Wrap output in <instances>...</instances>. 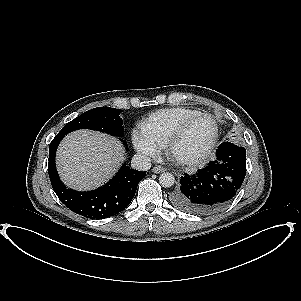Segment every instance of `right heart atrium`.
I'll return each instance as SVG.
<instances>
[{
	"label": "right heart atrium",
	"instance_id": "right-heart-atrium-1",
	"mask_svg": "<svg viewBox=\"0 0 301 301\" xmlns=\"http://www.w3.org/2000/svg\"><path fill=\"white\" fill-rule=\"evenodd\" d=\"M131 140L135 150L146 158H155L160 153V147L138 130L132 132Z\"/></svg>",
	"mask_w": 301,
	"mask_h": 301
}]
</instances>
